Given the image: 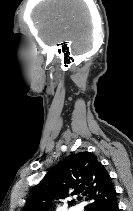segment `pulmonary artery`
Here are the masks:
<instances>
[{
	"label": "pulmonary artery",
	"instance_id": "1",
	"mask_svg": "<svg viewBox=\"0 0 133 211\" xmlns=\"http://www.w3.org/2000/svg\"><path fill=\"white\" fill-rule=\"evenodd\" d=\"M69 211H81L78 208H71Z\"/></svg>",
	"mask_w": 133,
	"mask_h": 211
}]
</instances>
